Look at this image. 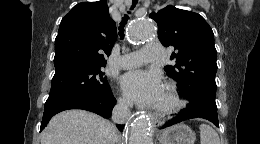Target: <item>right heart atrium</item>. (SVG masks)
I'll return each instance as SVG.
<instances>
[{
    "label": "right heart atrium",
    "instance_id": "obj_1",
    "mask_svg": "<svg viewBox=\"0 0 260 144\" xmlns=\"http://www.w3.org/2000/svg\"><path fill=\"white\" fill-rule=\"evenodd\" d=\"M118 103H119V105H121L122 107H128V106H129V101H128L126 98H124V97H120V98L118 99Z\"/></svg>",
    "mask_w": 260,
    "mask_h": 144
}]
</instances>
